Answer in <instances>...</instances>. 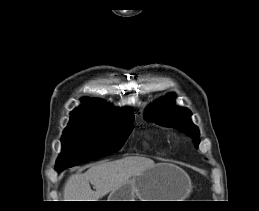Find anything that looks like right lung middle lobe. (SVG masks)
<instances>
[{"instance_id":"1","label":"right lung middle lobe","mask_w":259,"mask_h":211,"mask_svg":"<svg viewBox=\"0 0 259 211\" xmlns=\"http://www.w3.org/2000/svg\"><path fill=\"white\" fill-rule=\"evenodd\" d=\"M134 115L93 117L75 115L62 135V152L56 161L61 172L118 151L133 128Z\"/></svg>"}]
</instances>
